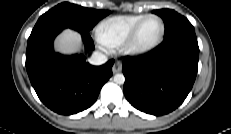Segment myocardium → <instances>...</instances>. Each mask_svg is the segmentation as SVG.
I'll list each match as a JSON object with an SVG mask.
<instances>
[{"mask_svg": "<svg viewBox=\"0 0 231 134\" xmlns=\"http://www.w3.org/2000/svg\"><path fill=\"white\" fill-rule=\"evenodd\" d=\"M151 18H156L160 21L161 32H160L158 38L153 43H151L147 46H140V45H138V42H137L139 33H140L143 25L146 23V21H148ZM165 30H166L165 22L159 15L148 14L144 18H142L136 24V26L133 28L130 35L128 36V38L126 39V41L123 44L122 51L125 54L131 55V56L145 55V54L151 52L152 50H154L161 43V41L163 40L164 34H165Z\"/></svg>", "mask_w": 231, "mask_h": 134, "instance_id": "obj_1", "label": "myocardium"}]
</instances>
